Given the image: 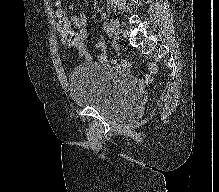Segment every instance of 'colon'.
Segmentation results:
<instances>
[{"mask_svg": "<svg viewBox=\"0 0 219 192\" xmlns=\"http://www.w3.org/2000/svg\"><path fill=\"white\" fill-rule=\"evenodd\" d=\"M68 23L66 21V18H65V14H63V18H61L59 21H58V29H63V30H66L68 28ZM116 64L118 65H124V63H122L121 61H114Z\"/></svg>", "mask_w": 219, "mask_h": 192, "instance_id": "5ec220e1", "label": "colon"}]
</instances>
